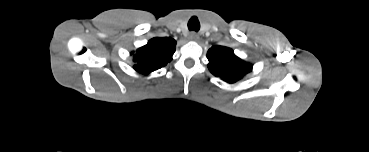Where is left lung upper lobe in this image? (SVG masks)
I'll list each match as a JSON object with an SVG mask.
<instances>
[{
	"mask_svg": "<svg viewBox=\"0 0 369 152\" xmlns=\"http://www.w3.org/2000/svg\"><path fill=\"white\" fill-rule=\"evenodd\" d=\"M211 73L228 83H234L251 72L252 65L238 58L231 48L213 46L207 52Z\"/></svg>",
	"mask_w": 369,
	"mask_h": 152,
	"instance_id": "1",
	"label": "left lung upper lobe"
}]
</instances>
